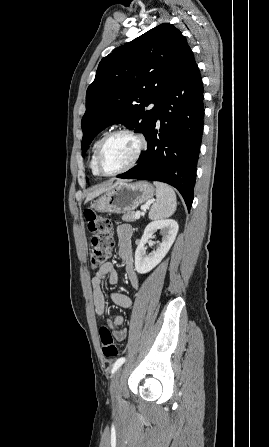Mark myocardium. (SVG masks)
Instances as JSON below:
<instances>
[{"label": "myocardium", "instance_id": "f54148a6", "mask_svg": "<svg viewBox=\"0 0 269 447\" xmlns=\"http://www.w3.org/2000/svg\"><path fill=\"white\" fill-rule=\"evenodd\" d=\"M119 133H128V134L135 136L139 141V147H138L132 161L128 165H126L125 167H122L120 169H117V170L108 171V170L104 169V167L102 165V161H101L103 149H104L106 142L113 135H116ZM146 148H147V138L139 130H137L135 128H131V127H120V128L111 130L103 136V138L101 139L99 146L97 148V155H96L97 168L101 174L107 175V176L116 175L119 173L126 172V171L132 169L138 163V161L142 157L143 153L145 152Z\"/></svg>", "mask_w": 269, "mask_h": 447}]
</instances>
